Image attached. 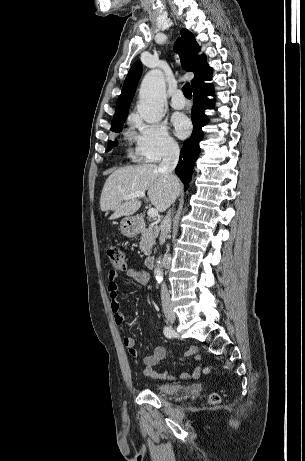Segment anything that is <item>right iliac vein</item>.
Here are the masks:
<instances>
[{
    "label": "right iliac vein",
    "mask_w": 305,
    "mask_h": 461,
    "mask_svg": "<svg viewBox=\"0 0 305 461\" xmlns=\"http://www.w3.org/2000/svg\"><path fill=\"white\" fill-rule=\"evenodd\" d=\"M165 316H166L168 323H174L175 315L170 309L165 310Z\"/></svg>",
    "instance_id": "1"
}]
</instances>
